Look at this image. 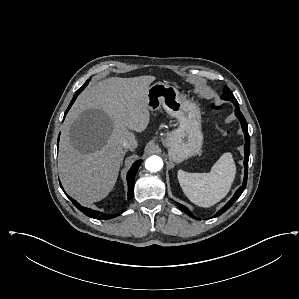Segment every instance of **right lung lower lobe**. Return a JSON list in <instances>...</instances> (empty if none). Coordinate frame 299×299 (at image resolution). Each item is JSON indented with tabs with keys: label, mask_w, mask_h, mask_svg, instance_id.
<instances>
[{
	"label": "right lung lower lobe",
	"mask_w": 299,
	"mask_h": 299,
	"mask_svg": "<svg viewBox=\"0 0 299 299\" xmlns=\"http://www.w3.org/2000/svg\"><path fill=\"white\" fill-rule=\"evenodd\" d=\"M82 91V89H78L77 92L75 93V95L73 96V99L70 103V105L68 106L65 114H67L68 110L70 109V107L72 106V104L74 103V101L76 100L77 96L79 95V93ZM59 137H58V141H57V146L59 145ZM141 160L136 161L132 167L130 168L128 174H127V182H128V198L131 199L133 197V187H134V180H135V175L138 171V168L140 167L141 164ZM61 185V184H60ZM62 190L63 187L61 186ZM64 191V190H63ZM68 198L72 201V203L81 211L83 212L85 215L92 217L94 219H111L114 218L116 216H118L119 214H105L99 211H94L91 210L89 208H85L83 206H81L77 201L73 200L72 198H70L68 196Z\"/></svg>",
	"instance_id": "obj_1"
}]
</instances>
